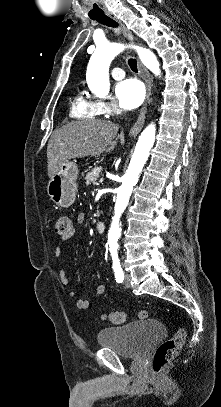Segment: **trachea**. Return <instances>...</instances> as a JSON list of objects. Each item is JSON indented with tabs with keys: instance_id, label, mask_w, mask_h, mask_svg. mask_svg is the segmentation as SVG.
Masks as SVG:
<instances>
[{
	"instance_id": "3493384b",
	"label": "trachea",
	"mask_w": 221,
	"mask_h": 407,
	"mask_svg": "<svg viewBox=\"0 0 221 407\" xmlns=\"http://www.w3.org/2000/svg\"><path fill=\"white\" fill-rule=\"evenodd\" d=\"M92 20L98 21L99 23L106 25L108 27L117 28L118 23L112 18L107 16L105 13L99 14L97 16L90 17ZM128 64L132 71L137 72V62L135 59L131 58L128 60Z\"/></svg>"
}]
</instances>
